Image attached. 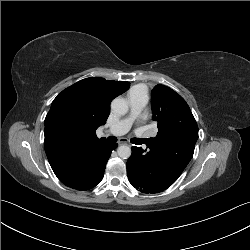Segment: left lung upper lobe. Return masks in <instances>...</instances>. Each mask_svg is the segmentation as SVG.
Returning <instances> with one entry per match:
<instances>
[{"label":"left lung upper lobe","instance_id":"obj_1","mask_svg":"<svg viewBox=\"0 0 250 250\" xmlns=\"http://www.w3.org/2000/svg\"><path fill=\"white\" fill-rule=\"evenodd\" d=\"M151 102L159 131L155 138H150V143L159 146L172 142L179 145V150L195 146L198 126L186 101L171 88L159 84L152 91Z\"/></svg>","mask_w":250,"mask_h":250}]
</instances>
